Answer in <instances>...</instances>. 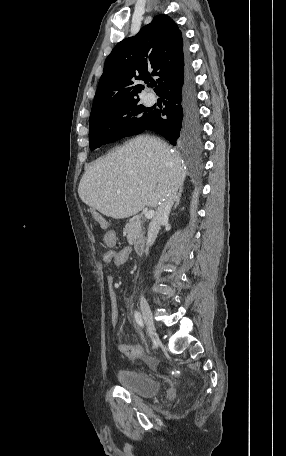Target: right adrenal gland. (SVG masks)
Here are the masks:
<instances>
[{
    "instance_id": "1",
    "label": "right adrenal gland",
    "mask_w": 286,
    "mask_h": 456,
    "mask_svg": "<svg viewBox=\"0 0 286 456\" xmlns=\"http://www.w3.org/2000/svg\"><path fill=\"white\" fill-rule=\"evenodd\" d=\"M180 197H181V192L177 195L176 197V200H175V205L173 207V210H175L177 208V206L179 205V202H180Z\"/></svg>"
}]
</instances>
